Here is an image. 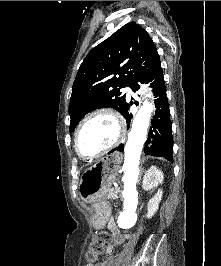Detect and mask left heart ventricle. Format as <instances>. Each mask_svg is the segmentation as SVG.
Wrapping results in <instances>:
<instances>
[{
  "label": "left heart ventricle",
  "mask_w": 221,
  "mask_h": 266,
  "mask_svg": "<svg viewBox=\"0 0 221 266\" xmlns=\"http://www.w3.org/2000/svg\"><path fill=\"white\" fill-rule=\"evenodd\" d=\"M117 133V124L111 116L97 115L83 128L79 141L80 148L87 155L95 154L110 145Z\"/></svg>",
  "instance_id": "b2bd125f"
}]
</instances>
